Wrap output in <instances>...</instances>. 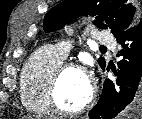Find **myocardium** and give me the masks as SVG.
I'll list each match as a JSON object with an SVG mask.
<instances>
[{"label": "myocardium", "mask_w": 142, "mask_h": 119, "mask_svg": "<svg viewBox=\"0 0 142 119\" xmlns=\"http://www.w3.org/2000/svg\"><path fill=\"white\" fill-rule=\"evenodd\" d=\"M70 70L80 71L83 74H85L86 77L88 78L89 88H90V92H89V96L87 100L76 109H65L59 104L57 100V92H58L60 82L63 76L66 74V72ZM96 94H97L96 86L89 71L84 66L73 63V62L62 63L56 69V71L50 78L47 91H46L47 101L50 106V109L57 114L66 115V116H74V115H78L85 112L87 109H89L93 105L96 98Z\"/></svg>", "instance_id": "myocardium-1"}]
</instances>
